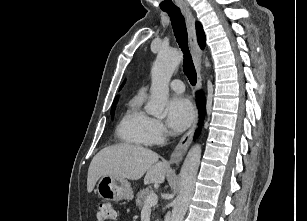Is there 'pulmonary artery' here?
<instances>
[{"label":"pulmonary artery","instance_id":"pulmonary-artery-1","mask_svg":"<svg viewBox=\"0 0 307 221\" xmlns=\"http://www.w3.org/2000/svg\"><path fill=\"white\" fill-rule=\"evenodd\" d=\"M169 86L176 93H183L185 89L184 83L178 79L171 81Z\"/></svg>","mask_w":307,"mask_h":221}]
</instances>
